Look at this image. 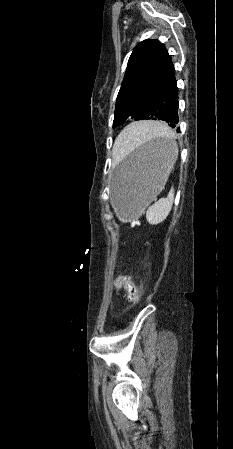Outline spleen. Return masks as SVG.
Returning a JSON list of instances; mask_svg holds the SVG:
<instances>
[{"instance_id":"1","label":"spleen","mask_w":233,"mask_h":449,"mask_svg":"<svg viewBox=\"0 0 233 449\" xmlns=\"http://www.w3.org/2000/svg\"><path fill=\"white\" fill-rule=\"evenodd\" d=\"M169 126L166 125H135L129 126L119 135L116 143L118 157L130 153L144 142H159L161 138L168 137ZM176 152H178L177 144ZM174 200V192L171 190L167 198H161L146 211V219L152 225L163 222L169 215Z\"/></svg>"}]
</instances>
